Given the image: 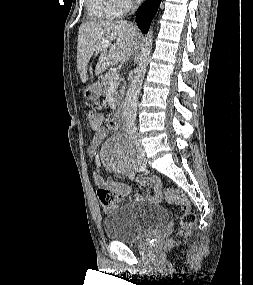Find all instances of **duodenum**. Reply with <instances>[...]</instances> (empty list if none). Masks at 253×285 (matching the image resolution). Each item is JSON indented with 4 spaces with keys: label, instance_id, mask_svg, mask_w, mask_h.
Masks as SVG:
<instances>
[{
    "label": "duodenum",
    "instance_id": "duodenum-1",
    "mask_svg": "<svg viewBox=\"0 0 253 285\" xmlns=\"http://www.w3.org/2000/svg\"><path fill=\"white\" fill-rule=\"evenodd\" d=\"M123 118H124V108H123V106H120L116 110V112L113 116V126L115 128H118L121 125V123L123 122Z\"/></svg>",
    "mask_w": 253,
    "mask_h": 285
}]
</instances>
